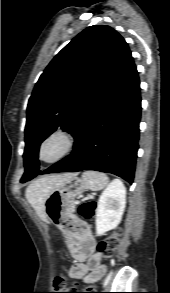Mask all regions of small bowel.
<instances>
[{
    "label": "small bowel",
    "mask_w": 170,
    "mask_h": 293,
    "mask_svg": "<svg viewBox=\"0 0 170 293\" xmlns=\"http://www.w3.org/2000/svg\"><path fill=\"white\" fill-rule=\"evenodd\" d=\"M67 242L69 251L78 260L70 267L68 276L86 284L101 280L106 273V267L100 255L95 253L91 246L83 244L78 237L71 236Z\"/></svg>",
    "instance_id": "1"
}]
</instances>
